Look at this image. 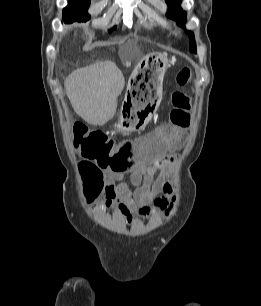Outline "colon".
<instances>
[{
    "instance_id": "obj_1",
    "label": "colon",
    "mask_w": 261,
    "mask_h": 306,
    "mask_svg": "<svg viewBox=\"0 0 261 306\" xmlns=\"http://www.w3.org/2000/svg\"><path fill=\"white\" fill-rule=\"evenodd\" d=\"M191 80L189 68L178 71L176 82L180 89L171 94L170 121L135 141H124L116 147L107 133L89 130L81 124L74 125V143L82 155L78 168L91 192H101L104 170L119 171L147 165L179 147L190 123L191 99L186 88L191 85Z\"/></svg>"
}]
</instances>
